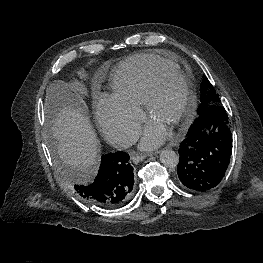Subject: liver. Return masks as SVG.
Masks as SVG:
<instances>
[{
    "mask_svg": "<svg viewBox=\"0 0 263 263\" xmlns=\"http://www.w3.org/2000/svg\"><path fill=\"white\" fill-rule=\"evenodd\" d=\"M51 131L57 152L63 162L79 172H88L97 163L99 141L83 107L76 88L56 82L48 89Z\"/></svg>",
    "mask_w": 263,
    "mask_h": 263,
    "instance_id": "6515ba94",
    "label": "liver"
}]
</instances>
